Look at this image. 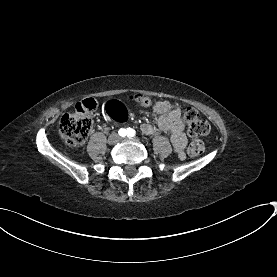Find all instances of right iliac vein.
Instances as JSON below:
<instances>
[{
  "mask_svg": "<svg viewBox=\"0 0 277 277\" xmlns=\"http://www.w3.org/2000/svg\"><path fill=\"white\" fill-rule=\"evenodd\" d=\"M119 141V137L117 134H112L110 135V137L108 138V143L109 144H115Z\"/></svg>",
  "mask_w": 277,
  "mask_h": 277,
  "instance_id": "1",
  "label": "right iliac vein"
}]
</instances>
